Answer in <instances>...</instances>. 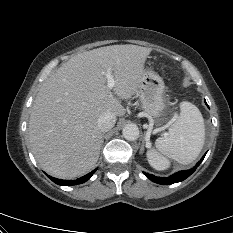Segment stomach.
Here are the masks:
<instances>
[{"label": "stomach", "instance_id": "0dacf381", "mask_svg": "<svg viewBox=\"0 0 233 233\" xmlns=\"http://www.w3.org/2000/svg\"><path fill=\"white\" fill-rule=\"evenodd\" d=\"M141 106L150 119L162 122L166 109L165 84L154 71L144 70L139 83Z\"/></svg>", "mask_w": 233, "mask_h": 233}]
</instances>
